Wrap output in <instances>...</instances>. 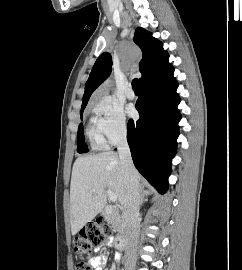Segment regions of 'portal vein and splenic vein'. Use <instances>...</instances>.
<instances>
[{"label":"portal vein and splenic vein","instance_id":"obj_1","mask_svg":"<svg viewBox=\"0 0 242 270\" xmlns=\"http://www.w3.org/2000/svg\"><path fill=\"white\" fill-rule=\"evenodd\" d=\"M93 192L95 190H92ZM107 194L109 196V199L112 201V202H115L117 201V195L115 193H113L110 189L107 190Z\"/></svg>","mask_w":242,"mask_h":270}]
</instances>
